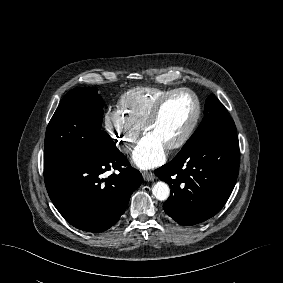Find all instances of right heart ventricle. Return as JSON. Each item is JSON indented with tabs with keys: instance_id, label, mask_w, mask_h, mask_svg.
Returning <instances> with one entry per match:
<instances>
[{
	"instance_id": "1",
	"label": "right heart ventricle",
	"mask_w": 283,
	"mask_h": 283,
	"mask_svg": "<svg viewBox=\"0 0 283 283\" xmlns=\"http://www.w3.org/2000/svg\"><path fill=\"white\" fill-rule=\"evenodd\" d=\"M171 90L153 86L132 88L121 96L120 110L132 124L141 129L156 101Z\"/></svg>"
}]
</instances>
